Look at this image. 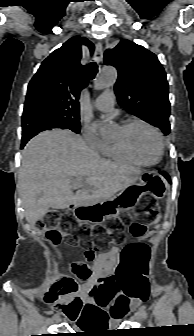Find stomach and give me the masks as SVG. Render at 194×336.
I'll return each mask as SVG.
<instances>
[{
  "label": "stomach",
  "instance_id": "stomach-1",
  "mask_svg": "<svg viewBox=\"0 0 194 336\" xmlns=\"http://www.w3.org/2000/svg\"><path fill=\"white\" fill-rule=\"evenodd\" d=\"M150 194L155 199H161L166 194V182L155 172H144L138 182L132 184L109 200L92 206H78L73 214L78 222L101 224L106 219L115 217L121 209L133 208L144 194Z\"/></svg>",
  "mask_w": 194,
  "mask_h": 336
}]
</instances>
